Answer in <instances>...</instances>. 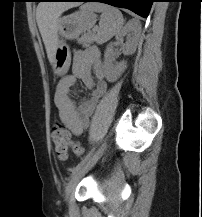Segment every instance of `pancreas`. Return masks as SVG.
<instances>
[{"label":"pancreas","instance_id":"obj_1","mask_svg":"<svg viewBox=\"0 0 202 217\" xmlns=\"http://www.w3.org/2000/svg\"><path fill=\"white\" fill-rule=\"evenodd\" d=\"M95 41V35L92 33L85 34L79 42L83 45V47H88L90 46L91 43Z\"/></svg>","mask_w":202,"mask_h":217}]
</instances>
